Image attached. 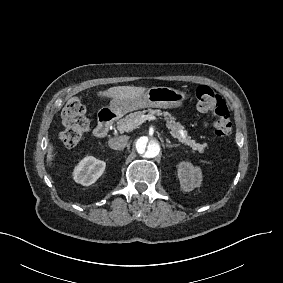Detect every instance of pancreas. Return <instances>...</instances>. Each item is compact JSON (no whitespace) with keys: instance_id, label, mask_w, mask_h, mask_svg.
I'll list each match as a JSON object with an SVG mask.
<instances>
[{"instance_id":"1","label":"pancreas","mask_w":283,"mask_h":283,"mask_svg":"<svg viewBox=\"0 0 283 283\" xmlns=\"http://www.w3.org/2000/svg\"><path fill=\"white\" fill-rule=\"evenodd\" d=\"M149 115H157V116H164V119L166 120V127L171 130L172 136L174 138H177L179 142L190 146L193 150H197L199 153H203L204 149L207 147V144H199L196 143L195 140H192L190 136H188L187 131L183 130L184 127L179 123L175 121V117H173L169 112L164 111L162 112L159 109L148 110ZM144 115V112L138 111L134 113H130L125 118H122L118 120L117 128L120 131V133L129 132L135 129L138 125H140L142 121V116ZM183 130L184 135L180 133V131Z\"/></svg>"}]
</instances>
